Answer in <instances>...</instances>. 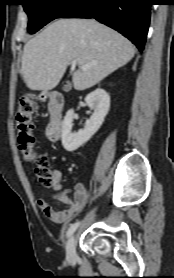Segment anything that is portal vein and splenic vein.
<instances>
[{
  "instance_id": "obj_1",
  "label": "portal vein and splenic vein",
  "mask_w": 174,
  "mask_h": 278,
  "mask_svg": "<svg viewBox=\"0 0 174 278\" xmlns=\"http://www.w3.org/2000/svg\"><path fill=\"white\" fill-rule=\"evenodd\" d=\"M76 61H72L71 62V70L73 71L74 69H75V67H76ZM89 65H84V66H82L81 67V69L83 70V71H86V70H88L89 69Z\"/></svg>"
}]
</instances>
